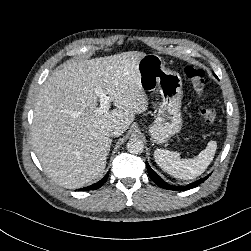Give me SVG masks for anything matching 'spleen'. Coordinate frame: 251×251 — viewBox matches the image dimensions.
I'll use <instances>...</instances> for the list:
<instances>
[{
	"label": "spleen",
	"mask_w": 251,
	"mask_h": 251,
	"mask_svg": "<svg viewBox=\"0 0 251 251\" xmlns=\"http://www.w3.org/2000/svg\"><path fill=\"white\" fill-rule=\"evenodd\" d=\"M217 149L216 141H210L198 156L181 159L179 153L156 149L154 158L157 165L169 175L179 179H194L200 176L212 162Z\"/></svg>",
	"instance_id": "obj_1"
}]
</instances>
